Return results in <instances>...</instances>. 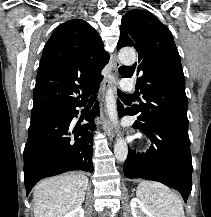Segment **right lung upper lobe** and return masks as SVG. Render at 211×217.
Instances as JSON below:
<instances>
[{"label": "right lung upper lobe", "instance_id": "cb5924a9", "mask_svg": "<svg viewBox=\"0 0 211 217\" xmlns=\"http://www.w3.org/2000/svg\"><path fill=\"white\" fill-rule=\"evenodd\" d=\"M103 46L99 34L84 20L58 26L41 56L31 118L62 110L96 90L109 61Z\"/></svg>", "mask_w": 211, "mask_h": 217}]
</instances>
